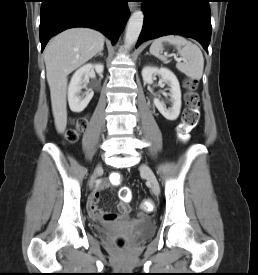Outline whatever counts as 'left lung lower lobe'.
<instances>
[{
	"instance_id": "0a47b994",
	"label": "left lung lower lobe",
	"mask_w": 258,
	"mask_h": 275,
	"mask_svg": "<svg viewBox=\"0 0 258 275\" xmlns=\"http://www.w3.org/2000/svg\"><path fill=\"white\" fill-rule=\"evenodd\" d=\"M136 47L164 35L178 34L197 40L208 52L211 38L209 0H148Z\"/></svg>"
}]
</instances>
